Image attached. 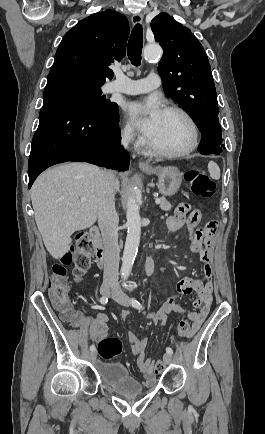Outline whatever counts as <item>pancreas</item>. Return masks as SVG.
I'll use <instances>...</instances> for the list:
<instances>
[{"label": "pancreas", "instance_id": "obj_1", "mask_svg": "<svg viewBox=\"0 0 265 434\" xmlns=\"http://www.w3.org/2000/svg\"><path fill=\"white\" fill-rule=\"evenodd\" d=\"M160 200V208L161 210H165V212H169L171 210L170 202H167L166 198H158Z\"/></svg>", "mask_w": 265, "mask_h": 434}]
</instances>
